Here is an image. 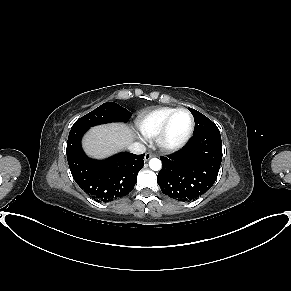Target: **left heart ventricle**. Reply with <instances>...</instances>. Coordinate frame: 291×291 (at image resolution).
<instances>
[{"label":"left heart ventricle","instance_id":"obj_1","mask_svg":"<svg viewBox=\"0 0 291 291\" xmlns=\"http://www.w3.org/2000/svg\"><path fill=\"white\" fill-rule=\"evenodd\" d=\"M190 126V117L186 112L177 113L170 124L168 131V141L176 142L180 140L187 132Z\"/></svg>","mask_w":291,"mask_h":291}]
</instances>
